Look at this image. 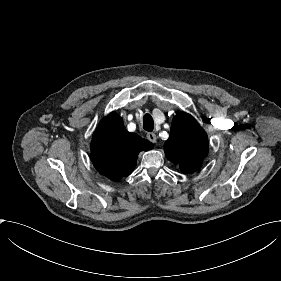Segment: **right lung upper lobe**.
Returning <instances> with one entry per match:
<instances>
[{"label":"right lung upper lobe","mask_w":281,"mask_h":281,"mask_svg":"<svg viewBox=\"0 0 281 281\" xmlns=\"http://www.w3.org/2000/svg\"><path fill=\"white\" fill-rule=\"evenodd\" d=\"M152 148L151 142L129 133L122 118L112 112L97 127L90 145V156L101 175L117 182L133 172L139 152Z\"/></svg>","instance_id":"right-lung-upper-lobe-1"}]
</instances>
